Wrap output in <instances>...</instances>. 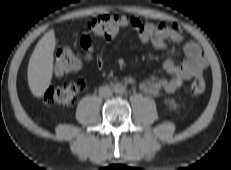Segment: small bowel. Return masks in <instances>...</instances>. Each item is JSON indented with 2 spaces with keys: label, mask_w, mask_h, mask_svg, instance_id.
I'll return each mask as SVG.
<instances>
[{
  "label": "small bowel",
  "mask_w": 231,
  "mask_h": 170,
  "mask_svg": "<svg viewBox=\"0 0 231 170\" xmlns=\"http://www.w3.org/2000/svg\"><path fill=\"white\" fill-rule=\"evenodd\" d=\"M132 27L138 34L141 41L151 44L154 48L165 50L168 46V41L175 43L181 42L183 32L179 25L161 23H145L143 24L136 18H132ZM110 40L111 38H104ZM80 44L88 53L93 52L92 37L85 34L80 39ZM185 60L181 64H177L174 59L168 58L165 60L163 67L167 73L171 75L170 79L158 78L151 76L139 83L140 89L150 95H157L161 92L172 94L178 91L186 80L194 78L202 74L207 66V61L202 54L200 47L192 42H186L183 46ZM97 63L102 64V58H97ZM126 83H135L132 76L124 78Z\"/></svg>",
  "instance_id": "small-bowel-1"
}]
</instances>
